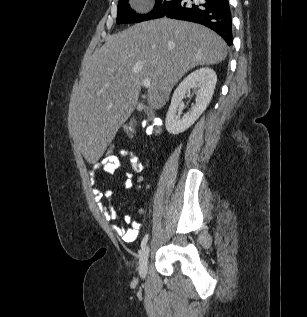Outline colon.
<instances>
[{
    "label": "colon",
    "instance_id": "1",
    "mask_svg": "<svg viewBox=\"0 0 307 317\" xmlns=\"http://www.w3.org/2000/svg\"><path fill=\"white\" fill-rule=\"evenodd\" d=\"M139 124L143 127L144 131L149 136H157L161 134L162 132V122L161 121H155L151 119H143L139 122ZM136 121H131L128 124L125 125L124 130L126 135L133 140L136 136ZM123 148H120L116 144H108L103 152L101 159H110L114 158L119 155L120 151Z\"/></svg>",
    "mask_w": 307,
    "mask_h": 317
}]
</instances>
